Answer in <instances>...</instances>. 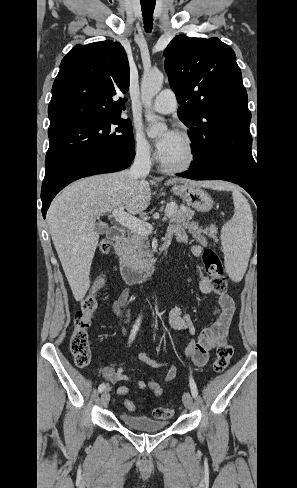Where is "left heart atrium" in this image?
<instances>
[{"label":"left heart atrium","mask_w":297,"mask_h":488,"mask_svg":"<svg viewBox=\"0 0 297 488\" xmlns=\"http://www.w3.org/2000/svg\"><path fill=\"white\" fill-rule=\"evenodd\" d=\"M177 133L173 130H167L157 140V149L159 156L165 152L170 143L176 138Z\"/></svg>","instance_id":"1"}]
</instances>
